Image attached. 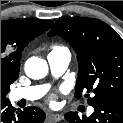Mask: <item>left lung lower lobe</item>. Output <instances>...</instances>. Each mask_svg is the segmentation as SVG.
I'll list each match as a JSON object with an SVG mask.
<instances>
[{"instance_id": "0a47b994", "label": "left lung lower lobe", "mask_w": 123, "mask_h": 123, "mask_svg": "<svg viewBox=\"0 0 123 123\" xmlns=\"http://www.w3.org/2000/svg\"><path fill=\"white\" fill-rule=\"evenodd\" d=\"M91 116L80 118L77 112L65 114V119L70 123H123V103L106 100L99 105L93 106Z\"/></svg>"}]
</instances>
